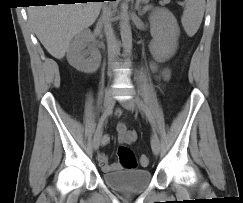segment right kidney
<instances>
[{
    "label": "right kidney",
    "mask_w": 243,
    "mask_h": 203,
    "mask_svg": "<svg viewBox=\"0 0 243 203\" xmlns=\"http://www.w3.org/2000/svg\"><path fill=\"white\" fill-rule=\"evenodd\" d=\"M93 39L91 31L84 29L75 36L70 45L67 59L69 64L78 71L93 73L99 68L101 54L90 46ZM86 47H89L88 50Z\"/></svg>",
    "instance_id": "obj_1"
}]
</instances>
